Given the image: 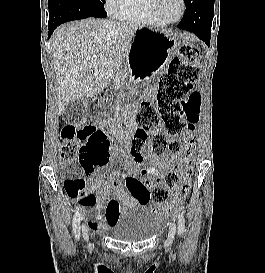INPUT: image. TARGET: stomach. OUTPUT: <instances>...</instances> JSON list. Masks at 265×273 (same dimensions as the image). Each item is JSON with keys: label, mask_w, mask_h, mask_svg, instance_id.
<instances>
[{"label": "stomach", "mask_w": 265, "mask_h": 273, "mask_svg": "<svg viewBox=\"0 0 265 273\" xmlns=\"http://www.w3.org/2000/svg\"><path fill=\"white\" fill-rule=\"evenodd\" d=\"M176 46L170 30L141 28L135 33L125 56L126 67L132 69L128 78H159V73H164L167 69ZM127 85H131V90H138L142 80H127Z\"/></svg>", "instance_id": "1"}]
</instances>
